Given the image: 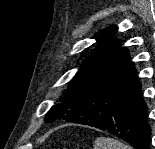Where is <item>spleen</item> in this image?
I'll list each match as a JSON object with an SVG mask.
<instances>
[{
  "label": "spleen",
  "instance_id": "1",
  "mask_svg": "<svg viewBox=\"0 0 155 149\" xmlns=\"http://www.w3.org/2000/svg\"><path fill=\"white\" fill-rule=\"evenodd\" d=\"M94 149H132V147L113 138L98 137L94 142Z\"/></svg>",
  "mask_w": 155,
  "mask_h": 149
}]
</instances>
